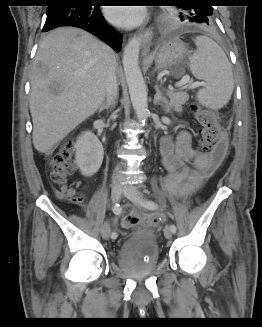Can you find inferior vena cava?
I'll return each instance as SVG.
<instances>
[{
  "label": "inferior vena cava",
  "instance_id": "inferior-vena-cava-1",
  "mask_svg": "<svg viewBox=\"0 0 262 327\" xmlns=\"http://www.w3.org/2000/svg\"><path fill=\"white\" fill-rule=\"evenodd\" d=\"M118 96V84L116 77V65H113L110 69L107 84H106V97L109 105H114ZM119 168L117 167L114 174V180H120Z\"/></svg>",
  "mask_w": 262,
  "mask_h": 327
}]
</instances>
